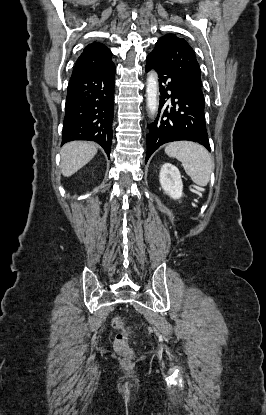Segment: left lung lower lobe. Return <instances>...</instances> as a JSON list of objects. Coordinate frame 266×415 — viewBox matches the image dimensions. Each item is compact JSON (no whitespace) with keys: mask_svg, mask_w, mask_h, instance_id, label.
Masks as SVG:
<instances>
[{"mask_svg":"<svg viewBox=\"0 0 266 415\" xmlns=\"http://www.w3.org/2000/svg\"><path fill=\"white\" fill-rule=\"evenodd\" d=\"M145 70L155 69L159 77L160 104L156 120L148 125L146 162L167 142L190 140L210 150L204 106L195 100L156 59L149 54ZM168 91L171 94H168Z\"/></svg>","mask_w":266,"mask_h":415,"instance_id":"left-lung-lower-lobe-1","label":"left lung lower lobe"}]
</instances>
